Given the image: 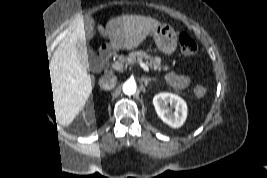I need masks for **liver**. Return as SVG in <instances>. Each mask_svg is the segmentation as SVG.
<instances>
[{
  "mask_svg": "<svg viewBox=\"0 0 267 178\" xmlns=\"http://www.w3.org/2000/svg\"><path fill=\"white\" fill-rule=\"evenodd\" d=\"M159 26V22L152 19L118 17L112 19L104 30L89 19L70 35L59 46L49 66L57 122L68 126L84 108L95 86V77L88 75L77 55L80 45L82 47L99 37L110 39L113 50H129L137 47Z\"/></svg>",
  "mask_w": 267,
  "mask_h": 178,
  "instance_id": "liver-1",
  "label": "liver"
}]
</instances>
